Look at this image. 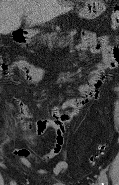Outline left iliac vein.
Here are the masks:
<instances>
[{"label": "left iliac vein", "instance_id": "4c4485c4", "mask_svg": "<svg viewBox=\"0 0 119 185\" xmlns=\"http://www.w3.org/2000/svg\"><path fill=\"white\" fill-rule=\"evenodd\" d=\"M97 185H102V178L99 177V179L97 180Z\"/></svg>", "mask_w": 119, "mask_h": 185}]
</instances>
